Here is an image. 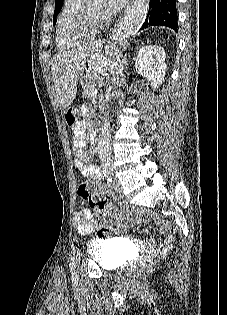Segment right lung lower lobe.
<instances>
[{
  "label": "right lung lower lobe",
  "instance_id": "98d812e1",
  "mask_svg": "<svg viewBox=\"0 0 227 315\" xmlns=\"http://www.w3.org/2000/svg\"><path fill=\"white\" fill-rule=\"evenodd\" d=\"M150 25L167 26L177 31L176 0H150L147 18L141 30Z\"/></svg>",
  "mask_w": 227,
  "mask_h": 315
}]
</instances>
